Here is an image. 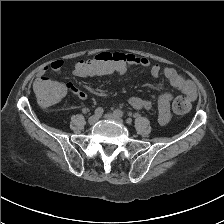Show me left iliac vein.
<instances>
[{
	"label": "left iliac vein",
	"mask_w": 224,
	"mask_h": 224,
	"mask_svg": "<svg viewBox=\"0 0 224 224\" xmlns=\"http://www.w3.org/2000/svg\"><path fill=\"white\" fill-rule=\"evenodd\" d=\"M104 117L106 119H110V120H114L116 121L117 123H120V124H123V120L121 117L117 116L116 114L114 113H107L104 115Z\"/></svg>",
	"instance_id": "obj_1"
}]
</instances>
